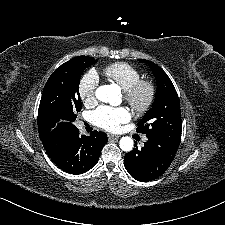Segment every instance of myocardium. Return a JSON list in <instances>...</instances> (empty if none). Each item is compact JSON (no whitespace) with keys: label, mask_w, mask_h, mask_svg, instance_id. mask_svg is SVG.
Returning a JSON list of instances; mask_svg holds the SVG:
<instances>
[{"label":"myocardium","mask_w":225,"mask_h":225,"mask_svg":"<svg viewBox=\"0 0 225 225\" xmlns=\"http://www.w3.org/2000/svg\"><path fill=\"white\" fill-rule=\"evenodd\" d=\"M156 96L155 84L148 79H140L124 90V98L131 108L138 113L148 111Z\"/></svg>","instance_id":"f54148a6"}]
</instances>
